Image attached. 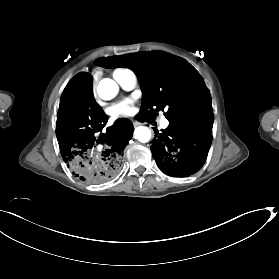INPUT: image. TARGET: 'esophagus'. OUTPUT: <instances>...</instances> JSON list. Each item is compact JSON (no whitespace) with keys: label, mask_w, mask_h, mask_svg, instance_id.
<instances>
[{"label":"esophagus","mask_w":279,"mask_h":279,"mask_svg":"<svg viewBox=\"0 0 279 279\" xmlns=\"http://www.w3.org/2000/svg\"><path fill=\"white\" fill-rule=\"evenodd\" d=\"M132 123L134 124V126L140 125V123L137 122L136 120H132Z\"/></svg>","instance_id":"34e87169"}]
</instances>
